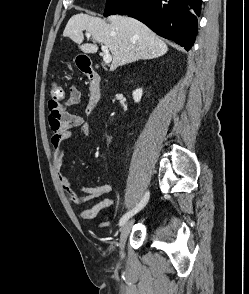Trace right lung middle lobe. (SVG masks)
<instances>
[{
	"label": "right lung middle lobe",
	"instance_id": "obj_1",
	"mask_svg": "<svg viewBox=\"0 0 249 294\" xmlns=\"http://www.w3.org/2000/svg\"><path fill=\"white\" fill-rule=\"evenodd\" d=\"M128 0H107L104 16L117 14Z\"/></svg>",
	"mask_w": 249,
	"mask_h": 294
}]
</instances>
